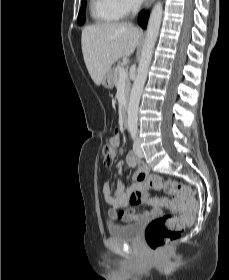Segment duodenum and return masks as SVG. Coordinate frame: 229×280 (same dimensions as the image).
Returning <instances> with one entry per match:
<instances>
[{"mask_svg":"<svg viewBox=\"0 0 229 280\" xmlns=\"http://www.w3.org/2000/svg\"><path fill=\"white\" fill-rule=\"evenodd\" d=\"M128 111H129V100L125 98L123 108H122V116H121V121L123 126H127L128 124Z\"/></svg>","mask_w":229,"mask_h":280,"instance_id":"410a0bca","label":"duodenum"}]
</instances>
